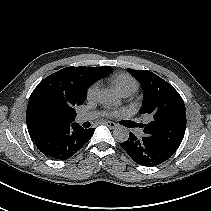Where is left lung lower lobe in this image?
<instances>
[{"mask_svg":"<svg viewBox=\"0 0 211 211\" xmlns=\"http://www.w3.org/2000/svg\"><path fill=\"white\" fill-rule=\"evenodd\" d=\"M121 147L136 163L142 166H156L166 161L172 154L166 152L145 136L137 138L130 132L127 141L120 143Z\"/></svg>","mask_w":211,"mask_h":211,"instance_id":"left-lung-lower-lobe-1","label":"left lung lower lobe"}]
</instances>
